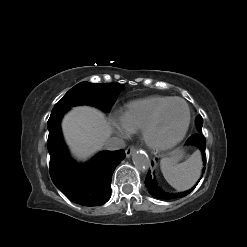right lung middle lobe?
Listing matches in <instances>:
<instances>
[{"mask_svg":"<svg viewBox=\"0 0 247 247\" xmlns=\"http://www.w3.org/2000/svg\"><path fill=\"white\" fill-rule=\"evenodd\" d=\"M124 88L119 83L81 82L70 89L64 97L54 106L52 112L68 110L79 104H88L109 111L119 96L120 90Z\"/></svg>","mask_w":247,"mask_h":247,"instance_id":"right-lung-middle-lobe-1","label":"right lung middle lobe"}]
</instances>
